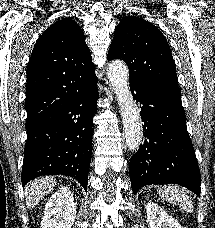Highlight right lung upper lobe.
Segmentation results:
<instances>
[{
  "label": "right lung upper lobe",
  "instance_id": "right-lung-upper-lobe-1",
  "mask_svg": "<svg viewBox=\"0 0 215 228\" xmlns=\"http://www.w3.org/2000/svg\"><path fill=\"white\" fill-rule=\"evenodd\" d=\"M95 74L91 53L80 26L62 18L37 41L27 68L26 122L62 104L75 83Z\"/></svg>",
  "mask_w": 215,
  "mask_h": 228
}]
</instances>
